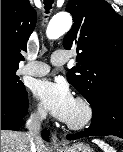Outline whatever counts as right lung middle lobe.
I'll list each match as a JSON object with an SVG mask.
<instances>
[{
  "label": "right lung middle lobe",
  "instance_id": "right-lung-middle-lobe-1",
  "mask_svg": "<svg viewBox=\"0 0 123 152\" xmlns=\"http://www.w3.org/2000/svg\"><path fill=\"white\" fill-rule=\"evenodd\" d=\"M17 69L1 67V98L19 99L27 93L25 86L16 76Z\"/></svg>",
  "mask_w": 123,
  "mask_h": 152
}]
</instances>
